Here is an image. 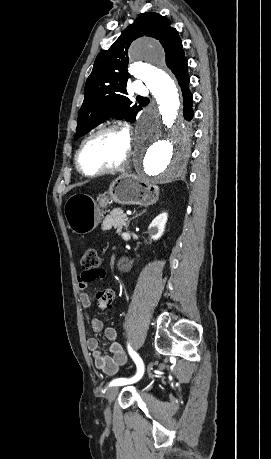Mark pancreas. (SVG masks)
<instances>
[{"mask_svg": "<svg viewBox=\"0 0 271 459\" xmlns=\"http://www.w3.org/2000/svg\"><path fill=\"white\" fill-rule=\"evenodd\" d=\"M123 214V210L121 208H115L110 212L109 216H106V220L102 225V230L104 232H109L111 230V226H114L116 229V233H121L122 226H125V218L121 215Z\"/></svg>", "mask_w": 271, "mask_h": 459, "instance_id": "1", "label": "pancreas"}]
</instances>
